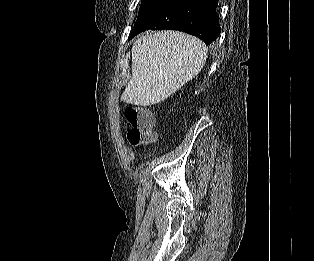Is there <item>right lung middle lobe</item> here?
<instances>
[{
    "label": "right lung middle lobe",
    "instance_id": "1",
    "mask_svg": "<svg viewBox=\"0 0 314 261\" xmlns=\"http://www.w3.org/2000/svg\"><path fill=\"white\" fill-rule=\"evenodd\" d=\"M171 1L172 0H142L139 15L135 25H141Z\"/></svg>",
    "mask_w": 314,
    "mask_h": 261
}]
</instances>
